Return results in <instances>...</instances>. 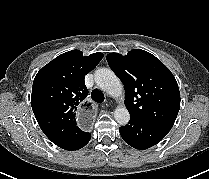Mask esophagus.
Wrapping results in <instances>:
<instances>
[{
	"label": "esophagus",
	"instance_id": "esophagus-1",
	"mask_svg": "<svg viewBox=\"0 0 209 179\" xmlns=\"http://www.w3.org/2000/svg\"><path fill=\"white\" fill-rule=\"evenodd\" d=\"M95 112L96 105L93 102H83L77 107L78 123L83 129H90L94 125Z\"/></svg>",
	"mask_w": 209,
	"mask_h": 179
}]
</instances>
